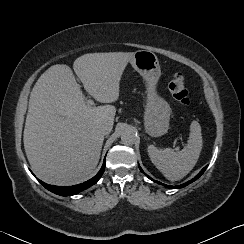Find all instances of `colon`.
I'll use <instances>...</instances> for the list:
<instances>
[{
    "instance_id": "obj_1",
    "label": "colon",
    "mask_w": 244,
    "mask_h": 244,
    "mask_svg": "<svg viewBox=\"0 0 244 244\" xmlns=\"http://www.w3.org/2000/svg\"><path fill=\"white\" fill-rule=\"evenodd\" d=\"M169 91L172 97L181 105L188 106L191 103L186 80L182 74H176L169 82Z\"/></svg>"
}]
</instances>
